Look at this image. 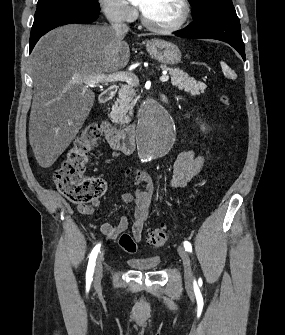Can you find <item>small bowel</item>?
<instances>
[{"mask_svg": "<svg viewBox=\"0 0 285 335\" xmlns=\"http://www.w3.org/2000/svg\"><path fill=\"white\" fill-rule=\"evenodd\" d=\"M208 159L204 155H199L192 150L181 152L173 164V175L171 186L180 188L186 186L194 180L205 168ZM135 176V193L124 192L121 194V200L130 204L134 200L136 206L133 210L132 234L136 241L142 237L144 224L149 216L150 207L155 195V185L150 176L145 173H135L132 168L124 172V176ZM99 207V201L94 200L91 204H79L78 211L84 215H91ZM129 220L122 216L116 224L103 223L100 232L109 240H115L121 233L127 230Z\"/></svg>", "mask_w": 285, "mask_h": 335, "instance_id": "1", "label": "small bowel"}]
</instances>
